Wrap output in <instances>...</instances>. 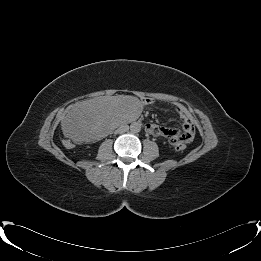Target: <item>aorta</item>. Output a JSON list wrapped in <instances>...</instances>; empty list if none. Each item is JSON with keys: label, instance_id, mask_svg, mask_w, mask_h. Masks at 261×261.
<instances>
[{"label": "aorta", "instance_id": "obj_1", "mask_svg": "<svg viewBox=\"0 0 261 261\" xmlns=\"http://www.w3.org/2000/svg\"><path fill=\"white\" fill-rule=\"evenodd\" d=\"M130 130L132 133H138L141 130V124L138 122H134L130 125Z\"/></svg>", "mask_w": 261, "mask_h": 261}]
</instances>
